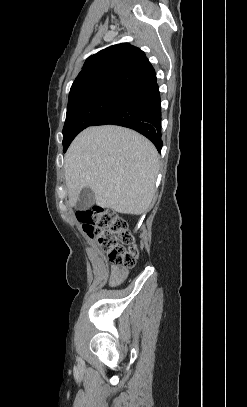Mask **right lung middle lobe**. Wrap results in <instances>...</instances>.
I'll list each match as a JSON object with an SVG mask.
<instances>
[{
	"mask_svg": "<svg viewBox=\"0 0 247 407\" xmlns=\"http://www.w3.org/2000/svg\"><path fill=\"white\" fill-rule=\"evenodd\" d=\"M135 92L136 90L126 87H110L68 103L63 128V152H66L78 133L93 125Z\"/></svg>",
	"mask_w": 247,
	"mask_h": 407,
	"instance_id": "right-lung-middle-lobe-1",
	"label": "right lung middle lobe"
}]
</instances>
